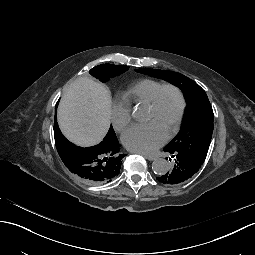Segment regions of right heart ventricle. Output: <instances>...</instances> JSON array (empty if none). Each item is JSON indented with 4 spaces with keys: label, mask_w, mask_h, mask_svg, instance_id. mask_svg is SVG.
I'll list each match as a JSON object with an SVG mask.
<instances>
[{
    "label": "right heart ventricle",
    "mask_w": 255,
    "mask_h": 255,
    "mask_svg": "<svg viewBox=\"0 0 255 255\" xmlns=\"http://www.w3.org/2000/svg\"><path fill=\"white\" fill-rule=\"evenodd\" d=\"M161 84V82L156 80L143 79L124 92L119 102L129 109L139 103H145L147 105L152 94Z\"/></svg>",
    "instance_id": "1"
}]
</instances>
